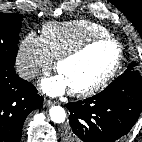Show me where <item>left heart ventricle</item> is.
<instances>
[{
	"mask_svg": "<svg viewBox=\"0 0 142 142\" xmlns=\"http://www.w3.org/2000/svg\"><path fill=\"white\" fill-rule=\"evenodd\" d=\"M116 58L117 48L111 43H101L64 62L58 73L69 89H84L99 81L112 68Z\"/></svg>",
	"mask_w": 142,
	"mask_h": 142,
	"instance_id": "obj_1",
	"label": "left heart ventricle"
}]
</instances>
